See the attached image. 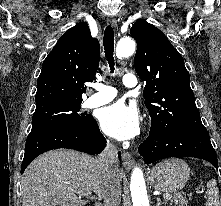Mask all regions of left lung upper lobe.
Masks as SVG:
<instances>
[{
    "label": "left lung upper lobe",
    "mask_w": 221,
    "mask_h": 206,
    "mask_svg": "<svg viewBox=\"0 0 221 206\" xmlns=\"http://www.w3.org/2000/svg\"><path fill=\"white\" fill-rule=\"evenodd\" d=\"M130 33L137 41L135 70L146 81L143 96L152 120L149 135L205 128L180 53L162 31L144 20L136 21Z\"/></svg>",
    "instance_id": "obj_1"
}]
</instances>
